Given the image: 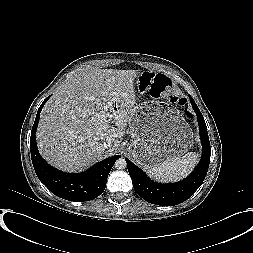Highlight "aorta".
<instances>
[{
	"label": "aorta",
	"mask_w": 253,
	"mask_h": 253,
	"mask_svg": "<svg viewBox=\"0 0 253 253\" xmlns=\"http://www.w3.org/2000/svg\"><path fill=\"white\" fill-rule=\"evenodd\" d=\"M114 166L118 170H123L127 167V162L124 158H119L116 160Z\"/></svg>",
	"instance_id": "obj_1"
}]
</instances>
